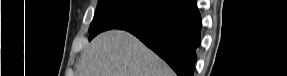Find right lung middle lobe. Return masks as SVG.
I'll return each mask as SVG.
<instances>
[{
    "instance_id": "dd1d6c3e",
    "label": "right lung middle lobe",
    "mask_w": 287,
    "mask_h": 76,
    "mask_svg": "<svg viewBox=\"0 0 287 76\" xmlns=\"http://www.w3.org/2000/svg\"><path fill=\"white\" fill-rule=\"evenodd\" d=\"M173 3V0H99L89 28V39L110 29L140 28Z\"/></svg>"
}]
</instances>
